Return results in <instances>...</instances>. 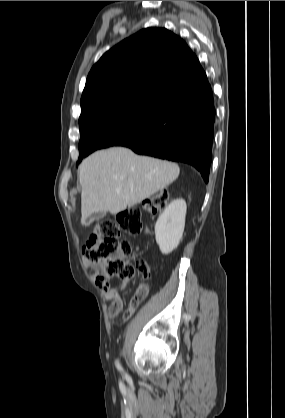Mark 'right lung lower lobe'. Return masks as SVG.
<instances>
[{"mask_svg":"<svg viewBox=\"0 0 285 418\" xmlns=\"http://www.w3.org/2000/svg\"><path fill=\"white\" fill-rule=\"evenodd\" d=\"M216 110L212 88L205 81L199 88L168 104L151 124L115 146L141 155L194 166L209 180Z\"/></svg>","mask_w":285,"mask_h":418,"instance_id":"1","label":"right lung lower lobe"}]
</instances>
